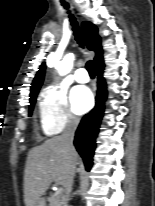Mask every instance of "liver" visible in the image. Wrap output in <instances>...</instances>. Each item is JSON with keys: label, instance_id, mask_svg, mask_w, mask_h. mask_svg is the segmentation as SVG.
<instances>
[{"label": "liver", "instance_id": "obj_1", "mask_svg": "<svg viewBox=\"0 0 155 206\" xmlns=\"http://www.w3.org/2000/svg\"><path fill=\"white\" fill-rule=\"evenodd\" d=\"M78 154H69L61 136L46 140L29 151L24 175V201L26 206H35L53 181L65 187L71 166L77 164Z\"/></svg>", "mask_w": 155, "mask_h": 206}]
</instances>
